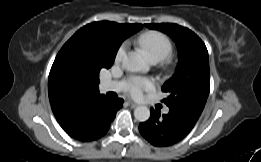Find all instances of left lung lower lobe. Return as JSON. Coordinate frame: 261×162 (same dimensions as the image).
Here are the masks:
<instances>
[{
    "instance_id": "0a47b994",
    "label": "left lung lower lobe",
    "mask_w": 261,
    "mask_h": 162,
    "mask_svg": "<svg viewBox=\"0 0 261 162\" xmlns=\"http://www.w3.org/2000/svg\"><path fill=\"white\" fill-rule=\"evenodd\" d=\"M169 108L170 112L162 116L158 110L151 108L149 120L139 125L141 135L154 146L164 147L179 142L200 117L199 113L184 105Z\"/></svg>"
}]
</instances>
